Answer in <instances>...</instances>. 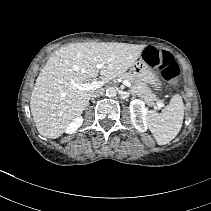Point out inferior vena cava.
Listing matches in <instances>:
<instances>
[{
  "mask_svg": "<svg viewBox=\"0 0 211 211\" xmlns=\"http://www.w3.org/2000/svg\"><path fill=\"white\" fill-rule=\"evenodd\" d=\"M104 91L103 90H96L94 91L92 94H91V97L92 98H96V97H99L101 95H103Z\"/></svg>",
  "mask_w": 211,
  "mask_h": 211,
  "instance_id": "602c4592",
  "label": "inferior vena cava"
}]
</instances>
